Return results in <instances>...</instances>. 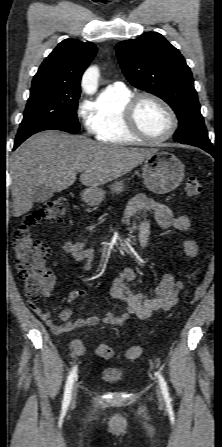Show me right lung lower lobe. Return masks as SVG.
<instances>
[{"label":"right lung lower lobe","mask_w":222,"mask_h":447,"mask_svg":"<svg viewBox=\"0 0 222 447\" xmlns=\"http://www.w3.org/2000/svg\"><path fill=\"white\" fill-rule=\"evenodd\" d=\"M18 146H19L18 144H15L14 149L17 148Z\"/></svg>","instance_id":"98d812e1"}]
</instances>
